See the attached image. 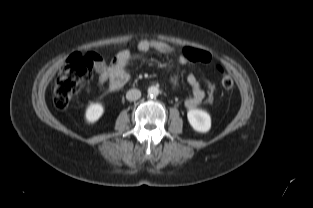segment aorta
<instances>
[{
  "instance_id": "aorta-1",
  "label": "aorta",
  "mask_w": 313,
  "mask_h": 208,
  "mask_svg": "<svg viewBox=\"0 0 313 208\" xmlns=\"http://www.w3.org/2000/svg\"><path fill=\"white\" fill-rule=\"evenodd\" d=\"M159 94V89L157 86H151L148 88V95L151 97H156Z\"/></svg>"
}]
</instances>
